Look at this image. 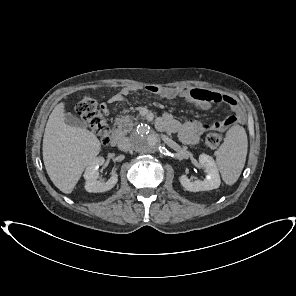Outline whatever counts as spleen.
<instances>
[{"label":"spleen","mask_w":296,"mask_h":296,"mask_svg":"<svg viewBox=\"0 0 296 296\" xmlns=\"http://www.w3.org/2000/svg\"><path fill=\"white\" fill-rule=\"evenodd\" d=\"M248 139L245 129L236 124L226 133L224 142L215 152L223 181L233 185L239 178L246 161Z\"/></svg>","instance_id":"3e777b00"}]
</instances>
